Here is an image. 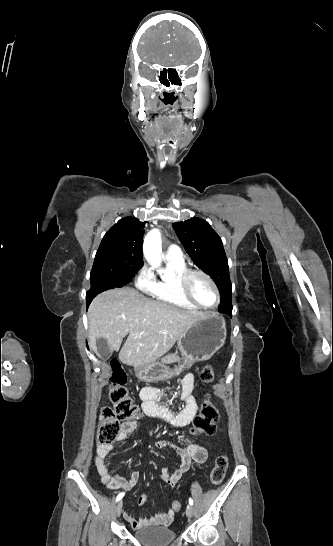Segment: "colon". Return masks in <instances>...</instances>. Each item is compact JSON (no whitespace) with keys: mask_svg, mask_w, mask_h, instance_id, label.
Here are the masks:
<instances>
[{"mask_svg":"<svg viewBox=\"0 0 333 546\" xmlns=\"http://www.w3.org/2000/svg\"><path fill=\"white\" fill-rule=\"evenodd\" d=\"M200 379L203 383H210L214 379L213 368L206 365L200 372ZM110 400L112 406L102 409L100 423L97 432V443L101 445L112 444L118 437L122 422L133 421L140 417V409L130 396L126 387V373L118 361L111 362L110 376ZM219 413L215 405L205 400L200 412L194 418L192 433L197 436L213 435L216 430V422ZM228 458L226 455L218 456L210 473V483L219 485L226 474ZM181 502H172V510L177 512L181 509Z\"/></svg>","mask_w":333,"mask_h":546,"instance_id":"obj_1","label":"colon"}]
</instances>
